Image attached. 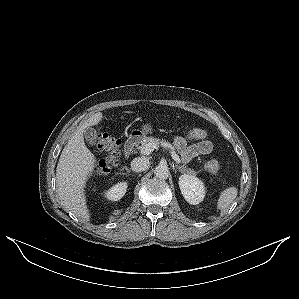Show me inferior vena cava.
Returning <instances> with one entry per match:
<instances>
[{"label":"inferior vena cava","instance_id":"1","mask_svg":"<svg viewBox=\"0 0 299 299\" xmlns=\"http://www.w3.org/2000/svg\"><path fill=\"white\" fill-rule=\"evenodd\" d=\"M150 163L149 160L145 157H138L132 160L131 169L134 172H142L148 169Z\"/></svg>","mask_w":299,"mask_h":299}]
</instances>
